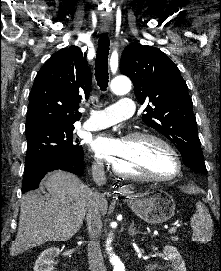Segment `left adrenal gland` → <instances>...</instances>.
I'll use <instances>...</instances> for the list:
<instances>
[{
  "label": "left adrenal gland",
  "instance_id": "obj_1",
  "mask_svg": "<svg viewBox=\"0 0 221 271\" xmlns=\"http://www.w3.org/2000/svg\"><path fill=\"white\" fill-rule=\"evenodd\" d=\"M131 221H132V223H131V225H129V229H128L130 235H135V233H142V231H137L133 219H131Z\"/></svg>",
  "mask_w": 221,
  "mask_h": 271
}]
</instances>
